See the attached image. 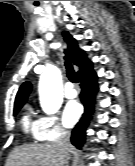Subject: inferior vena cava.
Returning a JSON list of instances; mask_svg holds the SVG:
<instances>
[{"mask_svg":"<svg viewBox=\"0 0 135 166\" xmlns=\"http://www.w3.org/2000/svg\"><path fill=\"white\" fill-rule=\"evenodd\" d=\"M57 142L63 152H66L70 146V134L68 132H62L57 139Z\"/></svg>","mask_w":135,"mask_h":166,"instance_id":"inferior-vena-cava-1","label":"inferior vena cava"}]
</instances>
